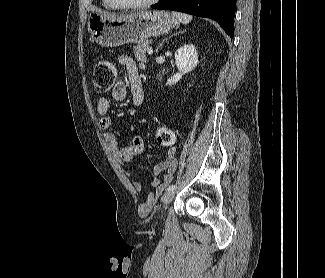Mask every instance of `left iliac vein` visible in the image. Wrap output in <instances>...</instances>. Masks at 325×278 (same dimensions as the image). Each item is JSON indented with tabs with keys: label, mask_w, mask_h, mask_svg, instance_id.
<instances>
[{
	"label": "left iliac vein",
	"mask_w": 325,
	"mask_h": 278,
	"mask_svg": "<svg viewBox=\"0 0 325 278\" xmlns=\"http://www.w3.org/2000/svg\"><path fill=\"white\" fill-rule=\"evenodd\" d=\"M175 196V191L174 190H168L165 192V194L162 196V204L163 206L168 205L174 198Z\"/></svg>",
	"instance_id": "4c4485c4"
}]
</instances>
